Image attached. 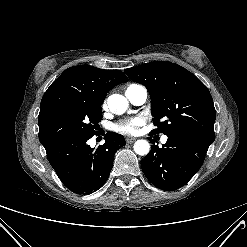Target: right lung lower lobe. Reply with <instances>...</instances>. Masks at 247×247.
Returning <instances> with one entry per match:
<instances>
[{"instance_id": "obj_1", "label": "right lung lower lobe", "mask_w": 247, "mask_h": 247, "mask_svg": "<svg viewBox=\"0 0 247 247\" xmlns=\"http://www.w3.org/2000/svg\"><path fill=\"white\" fill-rule=\"evenodd\" d=\"M93 135L72 137L45 147L48 161L62 183L77 194H90L106 183L114 154L126 143L122 135L108 132L105 143L95 149L87 144Z\"/></svg>"}]
</instances>
